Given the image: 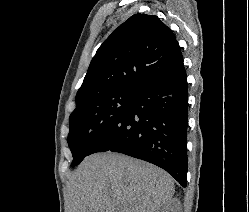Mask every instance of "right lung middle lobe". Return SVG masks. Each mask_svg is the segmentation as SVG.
Wrapping results in <instances>:
<instances>
[{
  "instance_id": "obj_1",
  "label": "right lung middle lobe",
  "mask_w": 249,
  "mask_h": 212,
  "mask_svg": "<svg viewBox=\"0 0 249 212\" xmlns=\"http://www.w3.org/2000/svg\"><path fill=\"white\" fill-rule=\"evenodd\" d=\"M137 92L117 91L92 97L71 113L68 144L73 155L71 166L89 155L94 143L130 105Z\"/></svg>"
}]
</instances>
